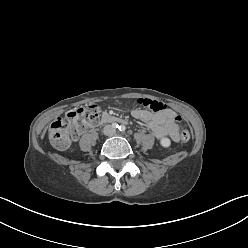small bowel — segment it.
Instances as JSON below:
<instances>
[{
    "label": "small bowel",
    "instance_id": "small-bowel-1",
    "mask_svg": "<svg viewBox=\"0 0 248 248\" xmlns=\"http://www.w3.org/2000/svg\"><path fill=\"white\" fill-rule=\"evenodd\" d=\"M132 116L144 123L146 128L158 139L168 138L177 142L180 139L179 131L176 126L177 114L170 110H162L151 113L144 109H134Z\"/></svg>",
    "mask_w": 248,
    "mask_h": 248
}]
</instances>
